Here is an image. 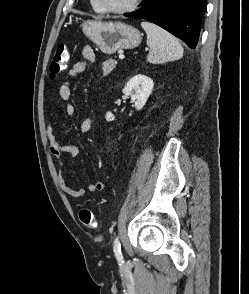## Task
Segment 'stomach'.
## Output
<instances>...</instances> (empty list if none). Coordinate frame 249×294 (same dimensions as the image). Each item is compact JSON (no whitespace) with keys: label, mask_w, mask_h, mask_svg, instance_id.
<instances>
[{"label":"stomach","mask_w":249,"mask_h":294,"mask_svg":"<svg viewBox=\"0 0 249 294\" xmlns=\"http://www.w3.org/2000/svg\"><path fill=\"white\" fill-rule=\"evenodd\" d=\"M84 34L105 54L119 49L135 48L141 43V33L122 22L87 20L82 24Z\"/></svg>","instance_id":"1"}]
</instances>
